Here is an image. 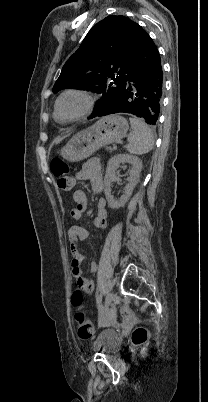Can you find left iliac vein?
Instances as JSON below:
<instances>
[{
    "label": "left iliac vein",
    "instance_id": "obj_1",
    "mask_svg": "<svg viewBox=\"0 0 208 402\" xmlns=\"http://www.w3.org/2000/svg\"><path fill=\"white\" fill-rule=\"evenodd\" d=\"M114 301V294L113 292H110L107 294L106 299H105V308L108 309Z\"/></svg>",
    "mask_w": 208,
    "mask_h": 402
}]
</instances>
